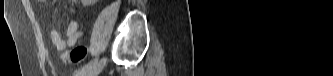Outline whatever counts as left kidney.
<instances>
[{"label": "left kidney", "instance_id": "obj_1", "mask_svg": "<svg viewBox=\"0 0 333 76\" xmlns=\"http://www.w3.org/2000/svg\"><path fill=\"white\" fill-rule=\"evenodd\" d=\"M84 2H87V1H84ZM90 2L93 3V2H96V1L95 0H91Z\"/></svg>", "mask_w": 333, "mask_h": 76}]
</instances>
